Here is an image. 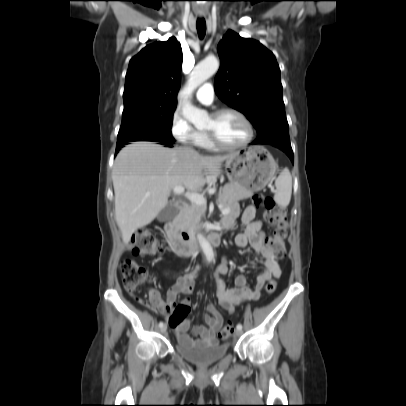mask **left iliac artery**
<instances>
[{
  "mask_svg": "<svg viewBox=\"0 0 406 406\" xmlns=\"http://www.w3.org/2000/svg\"><path fill=\"white\" fill-rule=\"evenodd\" d=\"M236 328L239 329V330H241V329H242V325L239 323V324H237Z\"/></svg>",
  "mask_w": 406,
  "mask_h": 406,
  "instance_id": "44dca946",
  "label": "left iliac artery"
}]
</instances>
